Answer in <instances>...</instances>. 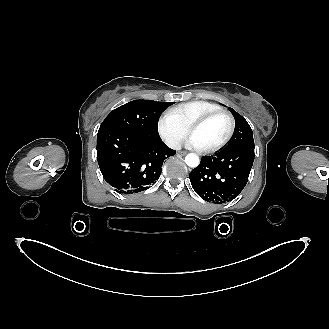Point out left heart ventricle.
<instances>
[{"instance_id": "obj_1", "label": "left heart ventricle", "mask_w": 329, "mask_h": 329, "mask_svg": "<svg viewBox=\"0 0 329 329\" xmlns=\"http://www.w3.org/2000/svg\"><path fill=\"white\" fill-rule=\"evenodd\" d=\"M228 130V119L225 116H218L195 128L191 135L197 140L200 148H210L221 142Z\"/></svg>"}]
</instances>
